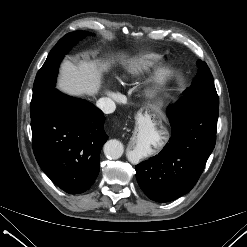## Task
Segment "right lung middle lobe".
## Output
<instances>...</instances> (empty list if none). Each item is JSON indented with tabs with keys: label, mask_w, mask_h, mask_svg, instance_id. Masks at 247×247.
I'll use <instances>...</instances> for the list:
<instances>
[{
	"label": "right lung middle lobe",
	"mask_w": 247,
	"mask_h": 247,
	"mask_svg": "<svg viewBox=\"0 0 247 247\" xmlns=\"http://www.w3.org/2000/svg\"><path fill=\"white\" fill-rule=\"evenodd\" d=\"M87 34L90 35L91 33L85 31L68 33L61 38L51 50L34 81L30 107L31 118L43 107L50 94L55 90L54 86L56 83L58 67L63 56L78 42V40Z\"/></svg>",
	"instance_id": "dd1d6c3e"
}]
</instances>
